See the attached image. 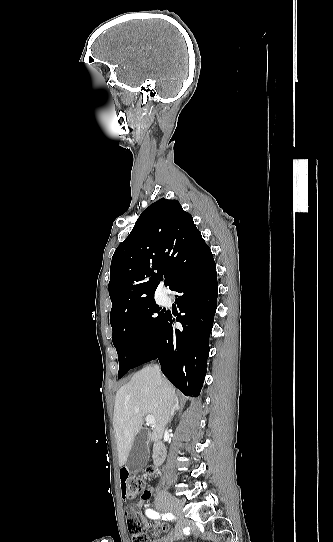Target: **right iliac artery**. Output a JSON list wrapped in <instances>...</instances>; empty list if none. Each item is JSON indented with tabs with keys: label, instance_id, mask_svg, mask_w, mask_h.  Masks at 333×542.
I'll list each match as a JSON object with an SVG mask.
<instances>
[{
	"label": "right iliac artery",
	"instance_id": "1",
	"mask_svg": "<svg viewBox=\"0 0 333 542\" xmlns=\"http://www.w3.org/2000/svg\"><path fill=\"white\" fill-rule=\"evenodd\" d=\"M146 515L151 519H158L162 517L163 520H170L174 518L172 514L167 513V514L159 515L158 512L153 511L151 509L146 510Z\"/></svg>",
	"mask_w": 333,
	"mask_h": 542
}]
</instances>
